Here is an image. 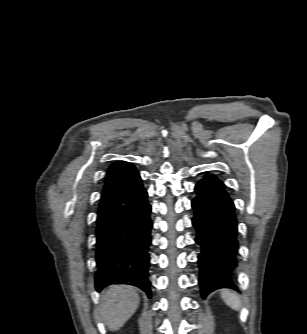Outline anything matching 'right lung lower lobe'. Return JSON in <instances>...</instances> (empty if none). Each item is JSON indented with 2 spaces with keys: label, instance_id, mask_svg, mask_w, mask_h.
Wrapping results in <instances>:
<instances>
[{
  "label": "right lung lower lobe",
  "instance_id": "right-lung-lower-lobe-1",
  "mask_svg": "<svg viewBox=\"0 0 307 334\" xmlns=\"http://www.w3.org/2000/svg\"><path fill=\"white\" fill-rule=\"evenodd\" d=\"M150 212L139 173L102 195L96 227L97 290L110 284H131L151 296L148 277Z\"/></svg>",
  "mask_w": 307,
  "mask_h": 334
}]
</instances>
